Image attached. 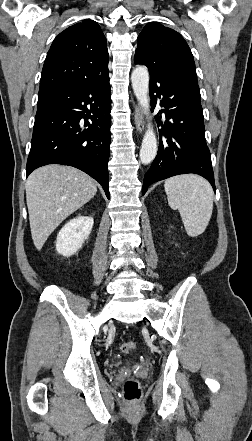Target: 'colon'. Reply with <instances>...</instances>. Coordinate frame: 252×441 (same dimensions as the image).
Returning a JSON list of instances; mask_svg holds the SVG:
<instances>
[{"label": "colon", "instance_id": "colon-1", "mask_svg": "<svg viewBox=\"0 0 252 441\" xmlns=\"http://www.w3.org/2000/svg\"><path fill=\"white\" fill-rule=\"evenodd\" d=\"M121 351L125 354H130L136 350V343L133 341L124 342L121 347ZM124 399L129 402H135L141 396V388L138 381L134 378H130L125 381L123 386Z\"/></svg>", "mask_w": 252, "mask_h": 441}]
</instances>
